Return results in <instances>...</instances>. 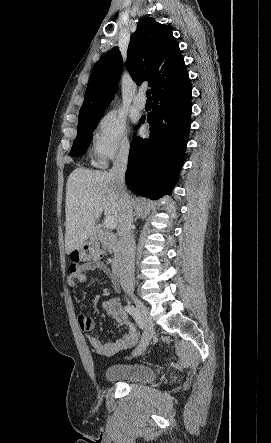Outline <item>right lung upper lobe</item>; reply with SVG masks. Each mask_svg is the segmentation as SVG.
I'll list each match as a JSON object with an SVG mask.
<instances>
[{
    "mask_svg": "<svg viewBox=\"0 0 271 443\" xmlns=\"http://www.w3.org/2000/svg\"><path fill=\"white\" fill-rule=\"evenodd\" d=\"M122 68L118 47L111 49L94 65L79 119L102 116L116 93ZM128 71L138 85L149 81L153 96L189 78L170 26L151 17L139 20L128 46Z\"/></svg>",
    "mask_w": 271,
    "mask_h": 443,
    "instance_id": "right-lung-upper-lobe-1",
    "label": "right lung upper lobe"
}]
</instances>
